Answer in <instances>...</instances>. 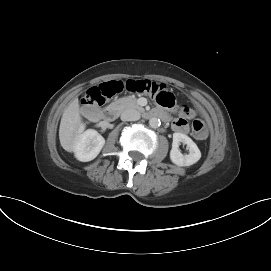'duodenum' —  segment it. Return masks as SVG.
<instances>
[{
    "mask_svg": "<svg viewBox=\"0 0 271 271\" xmlns=\"http://www.w3.org/2000/svg\"><path fill=\"white\" fill-rule=\"evenodd\" d=\"M117 114H118V110L115 106L107 107L100 114L96 113L94 110L87 112V115L91 119L100 118L103 122H106V123H111L112 121H114L115 118L117 117ZM145 116L148 118L159 117L163 120L168 119V116L163 111H159V110H153V111L147 112L145 113Z\"/></svg>",
    "mask_w": 271,
    "mask_h": 271,
    "instance_id": "410a0bca",
    "label": "duodenum"
}]
</instances>
